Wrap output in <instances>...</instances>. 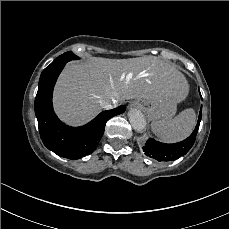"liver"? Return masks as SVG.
Instances as JSON below:
<instances>
[{
    "label": "liver",
    "mask_w": 229,
    "mask_h": 229,
    "mask_svg": "<svg viewBox=\"0 0 229 229\" xmlns=\"http://www.w3.org/2000/svg\"><path fill=\"white\" fill-rule=\"evenodd\" d=\"M187 83L171 64L154 56L132 59L91 58L70 63L55 91L59 115L82 123L100 111L104 101L136 100L176 103L187 94Z\"/></svg>",
    "instance_id": "liver-1"
}]
</instances>
